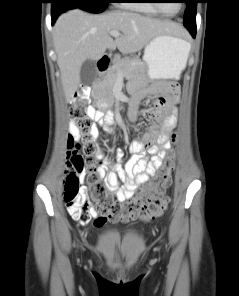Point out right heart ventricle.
Returning <instances> with one entry per match:
<instances>
[{
    "mask_svg": "<svg viewBox=\"0 0 239 296\" xmlns=\"http://www.w3.org/2000/svg\"><path fill=\"white\" fill-rule=\"evenodd\" d=\"M130 2L121 3L120 5L129 9L138 10L150 15H158L159 11L153 7L150 0H129Z\"/></svg>",
    "mask_w": 239,
    "mask_h": 296,
    "instance_id": "1",
    "label": "right heart ventricle"
}]
</instances>
